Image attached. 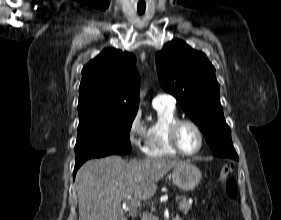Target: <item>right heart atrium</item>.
Returning a JSON list of instances; mask_svg holds the SVG:
<instances>
[{"label": "right heart atrium", "mask_w": 281, "mask_h": 220, "mask_svg": "<svg viewBox=\"0 0 281 220\" xmlns=\"http://www.w3.org/2000/svg\"><path fill=\"white\" fill-rule=\"evenodd\" d=\"M128 138L136 148L143 150L146 139V127L141 119V113L137 112L129 125Z\"/></svg>", "instance_id": "1"}]
</instances>
